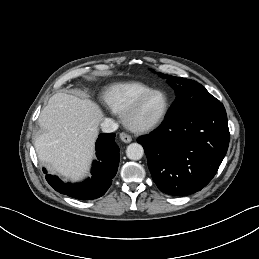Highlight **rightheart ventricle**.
<instances>
[{
	"label": "right heart ventricle",
	"instance_id": "obj_1",
	"mask_svg": "<svg viewBox=\"0 0 259 259\" xmlns=\"http://www.w3.org/2000/svg\"><path fill=\"white\" fill-rule=\"evenodd\" d=\"M151 89L141 82L117 83L106 89L102 101L113 113L123 115L137 99Z\"/></svg>",
	"mask_w": 259,
	"mask_h": 259
}]
</instances>
